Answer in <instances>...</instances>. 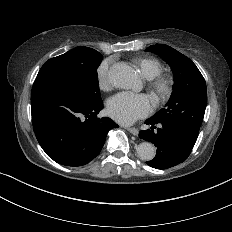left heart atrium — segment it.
<instances>
[{
    "mask_svg": "<svg viewBox=\"0 0 232 232\" xmlns=\"http://www.w3.org/2000/svg\"><path fill=\"white\" fill-rule=\"evenodd\" d=\"M107 112L116 121L129 125L151 112V101L145 95L120 93L108 101Z\"/></svg>",
    "mask_w": 232,
    "mask_h": 232,
    "instance_id": "left-heart-atrium-1",
    "label": "left heart atrium"
}]
</instances>
